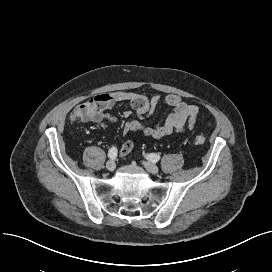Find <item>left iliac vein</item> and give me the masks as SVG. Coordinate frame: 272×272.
Returning <instances> with one entry per match:
<instances>
[{
	"mask_svg": "<svg viewBox=\"0 0 272 272\" xmlns=\"http://www.w3.org/2000/svg\"><path fill=\"white\" fill-rule=\"evenodd\" d=\"M143 165L146 170L152 174H157L159 172V168L152 162L144 161Z\"/></svg>",
	"mask_w": 272,
	"mask_h": 272,
	"instance_id": "obj_1",
	"label": "left iliac vein"
}]
</instances>
